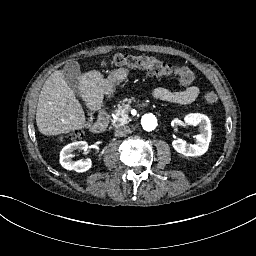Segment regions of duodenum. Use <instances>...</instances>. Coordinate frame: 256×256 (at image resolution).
<instances>
[{
    "instance_id": "410a0bca",
    "label": "duodenum",
    "mask_w": 256,
    "mask_h": 256,
    "mask_svg": "<svg viewBox=\"0 0 256 256\" xmlns=\"http://www.w3.org/2000/svg\"><path fill=\"white\" fill-rule=\"evenodd\" d=\"M129 77V70L126 67H119L112 73L102 85V91L98 94L99 107L101 108L97 121L93 124L92 130L95 134H102L106 131L110 116L108 110V103L111 99L117 97V87Z\"/></svg>"
}]
</instances>
